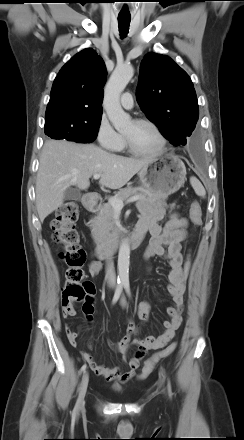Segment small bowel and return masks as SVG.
Masks as SVG:
<instances>
[{
	"instance_id": "c3829d8e",
	"label": "small bowel",
	"mask_w": 244,
	"mask_h": 440,
	"mask_svg": "<svg viewBox=\"0 0 244 440\" xmlns=\"http://www.w3.org/2000/svg\"><path fill=\"white\" fill-rule=\"evenodd\" d=\"M140 212V220L137 226L147 228L151 234L148 247L145 252V258L150 259L153 256L164 257L168 261L170 267L168 292L171 296L173 305L167 311L170 316L169 321H165L163 326L164 332L158 336L148 335L144 339L137 338L139 328L132 320H129L126 335L113 346L123 355V361L128 364L129 370L123 371L120 366L106 367L97 363L93 356L85 351L81 352L82 357L87 361L90 368L95 374L104 377L108 381L125 383L135 376V371L139 368L141 357L134 356L127 360L126 354L130 345L144 346L149 349H158L168 344L175 336L176 331L182 323L181 307L183 304V294L185 285L183 279V256L181 254V242L186 237L187 220L180 215L173 213L169 221L164 225H159L166 215L165 204L159 201L155 204L149 202H141L138 204ZM166 247V248H165ZM102 266L99 262H92L88 271L91 276H96ZM151 305L147 301L139 304L138 315L143 322L149 320ZM85 320L90 333V325L93 321L94 307L91 309H83ZM65 318L71 317L64 315ZM67 337L73 346H77L78 334L70 329L68 325L65 327Z\"/></svg>"
}]
</instances>
